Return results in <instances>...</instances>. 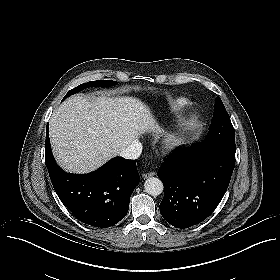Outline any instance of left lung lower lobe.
Listing matches in <instances>:
<instances>
[{"label":"left lung lower lobe","mask_w":280,"mask_h":280,"mask_svg":"<svg viewBox=\"0 0 280 280\" xmlns=\"http://www.w3.org/2000/svg\"><path fill=\"white\" fill-rule=\"evenodd\" d=\"M235 152L227 146L194 143L165 159L157 172L164 183L163 218L177 228L205 220L228 188Z\"/></svg>","instance_id":"left-lung-lower-lobe-1"}]
</instances>
